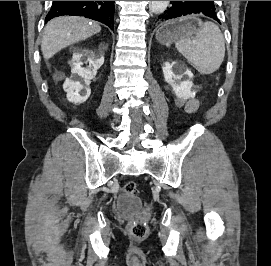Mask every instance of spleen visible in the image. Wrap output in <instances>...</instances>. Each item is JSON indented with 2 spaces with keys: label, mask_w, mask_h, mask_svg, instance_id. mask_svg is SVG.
Returning <instances> with one entry per match:
<instances>
[{
  "label": "spleen",
  "mask_w": 271,
  "mask_h": 266,
  "mask_svg": "<svg viewBox=\"0 0 271 266\" xmlns=\"http://www.w3.org/2000/svg\"><path fill=\"white\" fill-rule=\"evenodd\" d=\"M175 46L204 75L218 70L225 56L223 34L216 24L208 21L200 25L193 40L189 36L181 37L176 40Z\"/></svg>",
  "instance_id": "obj_1"
}]
</instances>
